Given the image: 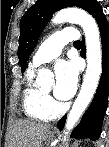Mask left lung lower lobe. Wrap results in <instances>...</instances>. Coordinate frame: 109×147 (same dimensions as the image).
Returning <instances> with one entry per match:
<instances>
[{"label": "left lung lower lobe", "mask_w": 109, "mask_h": 147, "mask_svg": "<svg viewBox=\"0 0 109 147\" xmlns=\"http://www.w3.org/2000/svg\"><path fill=\"white\" fill-rule=\"evenodd\" d=\"M91 15L95 18L102 40V75L100 82L89 108L83 115L79 125L72 131L71 137L77 139L89 138L97 140L102 129L103 116L107 108V96L109 93V24L103 14L100 5H97ZM85 50L81 51L82 57L85 56ZM66 116L58 121L57 127L63 129Z\"/></svg>", "instance_id": "left-lung-lower-lobe-1"}]
</instances>
